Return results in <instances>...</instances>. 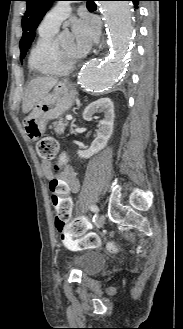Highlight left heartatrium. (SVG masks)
Returning a JSON list of instances; mask_svg holds the SVG:
<instances>
[{
	"mask_svg": "<svg viewBox=\"0 0 183 329\" xmlns=\"http://www.w3.org/2000/svg\"><path fill=\"white\" fill-rule=\"evenodd\" d=\"M72 31L75 37L76 49L81 54H85L97 41L99 36L98 24L90 17L74 21Z\"/></svg>",
	"mask_w": 183,
	"mask_h": 329,
	"instance_id": "left-heart-atrium-1",
	"label": "left heart atrium"
}]
</instances>
